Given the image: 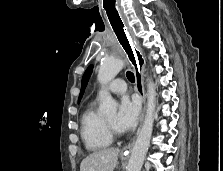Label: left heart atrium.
I'll return each mask as SVG.
<instances>
[{
  "mask_svg": "<svg viewBox=\"0 0 223 171\" xmlns=\"http://www.w3.org/2000/svg\"><path fill=\"white\" fill-rule=\"evenodd\" d=\"M140 106L137 100L128 97L122 98L118 114L115 119V129L120 132L132 130L139 117Z\"/></svg>",
  "mask_w": 223,
  "mask_h": 171,
  "instance_id": "obj_1",
  "label": "left heart atrium"
}]
</instances>
